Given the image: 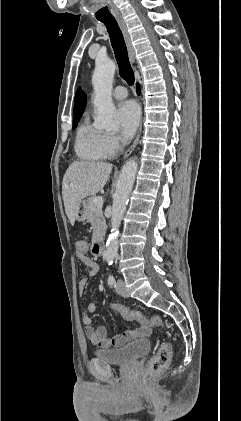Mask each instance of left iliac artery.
Segmentation results:
<instances>
[{"label": "left iliac artery", "instance_id": "obj_1", "mask_svg": "<svg viewBox=\"0 0 241 421\" xmlns=\"http://www.w3.org/2000/svg\"><path fill=\"white\" fill-rule=\"evenodd\" d=\"M108 284L110 286H113L115 284V278H114L113 275H109V277H108Z\"/></svg>", "mask_w": 241, "mask_h": 421}]
</instances>
